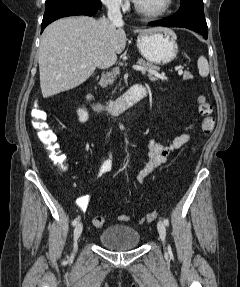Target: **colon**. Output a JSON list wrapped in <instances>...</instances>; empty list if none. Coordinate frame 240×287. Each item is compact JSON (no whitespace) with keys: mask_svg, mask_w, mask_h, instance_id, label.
Here are the masks:
<instances>
[{"mask_svg":"<svg viewBox=\"0 0 240 287\" xmlns=\"http://www.w3.org/2000/svg\"><path fill=\"white\" fill-rule=\"evenodd\" d=\"M198 102V112L202 117L201 128L204 135H208L214 128L215 121L212 117V105L206 99L204 95H199L197 98ZM46 112L35 105L31 110V125L36 131L38 140L46 146V148L51 152V157L54 161L60 165H64V156L59 152L56 143L57 137L55 133L49 128L46 122ZM158 214L157 212L148 213L141 222H152L156 220ZM119 221H128L129 217L127 215H119ZM104 224V218L101 216H95L92 219V225L96 228L102 227Z\"/></svg>","mask_w":240,"mask_h":287,"instance_id":"5ec220e1","label":"colon"}]
</instances>
